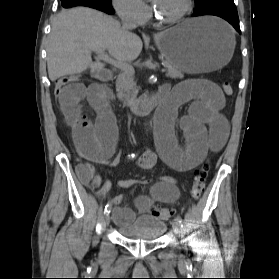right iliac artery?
I'll return each instance as SVG.
<instances>
[{
	"label": "right iliac artery",
	"mask_w": 279,
	"mask_h": 279,
	"mask_svg": "<svg viewBox=\"0 0 279 279\" xmlns=\"http://www.w3.org/2000/svg\"><path fill=\"white\" fill-rule=\"evenodd\" d=\"M134 157H135L134 154H132L131 156H129V158H134ZM110 211H111V206H110V204L108 203V204L105 206L104 213H105V214H106V213H110Z\"/></svg>",
	"instance_id": "1"
}]
</instances>
